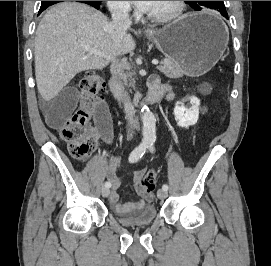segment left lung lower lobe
Wrapping results in <instances>:
<instances>
[{
	"instance_id": "0a47b994",
	"label": "left lung lower lobe",
	"mask_w": 271,
	"mask_h": 266,
	"mask_svg": "<svg viewBox=\"0 0 271 266\" xmlns=\"http://www.w3.org/2000/svg\"><path fill=\"white\" fill-rule=\"evenodd\" d=\"M220 14H221L223 17H225L226 19H228V14H227L226 11L220 12Z\"/></svg>"
}]
</instances>
